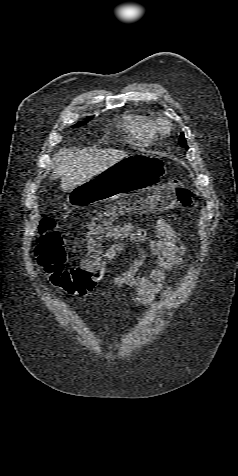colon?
I'll return each instance as SVG.
<instances>
[{
    "instance_id": "obj_1",
    "label": "colon",
    "mask_w": 238,
    "mask_h": 476,
    "mask_svg": "<svg viewBox=\"0 0 238 476\" xmlns=\"http://www.w3.org/2000/svg\"><path fill=\"white\" fill-rule=\"evenodd\" d=\"M195 201L194 192L181 181L168 180L159 185L153 194L133 204L121 203L99 213L87 228L91 257L80 265L68 268L65 267L66 251L63 239L55 228V221L44 216L39 223L34 249L37 263L47 281L63 292L73 294L92 290L102 276V270L97 264L100 258L98 245L113 220L131 213L166 212L186 208Z\"/></svg>"
}]
</instances>
